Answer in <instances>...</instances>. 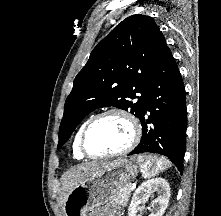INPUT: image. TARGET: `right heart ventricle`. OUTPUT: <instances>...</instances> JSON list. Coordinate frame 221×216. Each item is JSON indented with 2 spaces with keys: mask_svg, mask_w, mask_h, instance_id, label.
<instances>
[{
  "mask_svg": "<svg viewBox=\"0 0 221 216\" xmlns=\"http://www.w3.org/2000/svg\"><path fill=\"white\" fill-rule=\"evenodd\" d=\"M88 121V120H87ZM85 121L81 127L79 128V130L77 131L76 135H75V138H74V141H73V145H72V150H73V156L76 158V159H82L84 158V155L83 153L81 152L80 148H79V137H80V134H81V131L84 127V125L86 124Z\"/></svg>",
  "mask_w": 221,
  "mask_h": 216,
  "instance_id": "obj_1",
  "label": "right heart ventricle"
}]
</instances>
